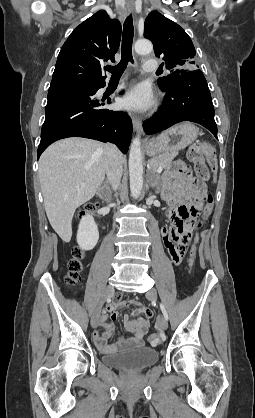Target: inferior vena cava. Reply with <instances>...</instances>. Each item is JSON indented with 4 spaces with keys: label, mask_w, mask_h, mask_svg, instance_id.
Wrapping results in <instances>:
<instances>
[{
    "label": "inferior vena cava",
    "mask_w": 255,
    "mask_h": 418,
    "mask_svg": "<svg viewBox=\"0 0 255 418\" xmlns=\"http://www.w3.org/2000/svg\"><path fill=\"white\" fill-rule=\"evenodd\" d=\"M122 165L123 162L121 159V153L118 148L113 144H107L105 152V171L108 182L114 190H116L120 185Z\"/></svg>",
    "instance_id": "inferior-vena-cava-1"
}]
</instances>
